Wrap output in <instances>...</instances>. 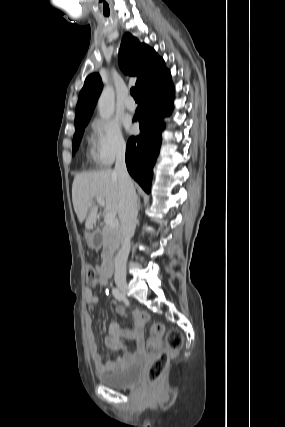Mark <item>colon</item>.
<instances>
[{
	"label": "colon",
	"mask_w": 285,
	"mask_h": 427,
	"mask_svg": "<svg viewBox=\"0 0 285 427\" xmlns=\"http://www.w3.org/2000/svg\"><path fill=\"white\" fill-rule=\"evenodd\" d=\"M85 274L88 283H96L97 271L92 265L86 266ZM163 332L164 328L160 323H154L150 326L147 339V350L149 352H154L158 349ZM182 345L183 337L181 332L177 329L168 330L165 335V350L157 354L148 369L147 380L150 384H155L159 381L167 369L171 356L180 350Z\"/></svg>",
	"instance_id": "colon-1"
}]
</instances>
